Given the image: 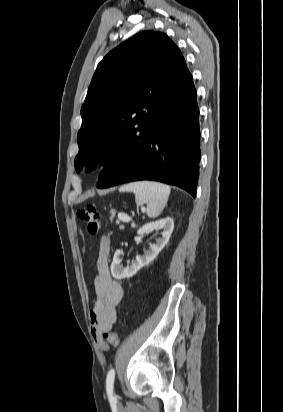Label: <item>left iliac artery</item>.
<instances>
[{"label":"left iliac artery","mask_w":283,"mask_h":412,"mask_svg":"<svg viewBox=\"0 0 283 412\" xmlns=\"http://www.w3.org/2000/svg\"><path fill=\"white\" fill-rule=\"evenodd\" d=\"M114 378H115V370L111 369L106 378V390L110 400L115 401L116 398L113 396V388H114Z\"/></svg>","instance_id":"1"}]
</instances>
